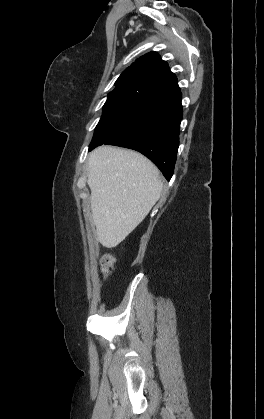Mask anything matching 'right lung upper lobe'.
<instances>
[{
  "mask_svg": "<svg viewBox=\"0 0 264 419\" xmlns=\"http://www.w3.org/2000/svg\"><path fill=\"white\" fill-rule=\"evenodd\" d=\"M117 87H128L151 98L180 90L176 76L156 52L137 59L117 79Z\"/></svg>",
  "mask_w": 264,
  "mask_h": 419,
  "instance_id": "obj_1",
  "label": "right lung upper lobe"
}]
</instances>
